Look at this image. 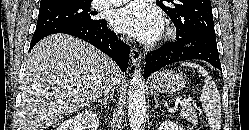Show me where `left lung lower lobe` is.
<instances>
[{
	"instance_id": "left-lung-lower-lobe-1",
	"label": "left lung lower lobe",
	"mask_w": 249,
	"mask_h": 130,
	"mask_svg": "<svg viewBox=\"0 0 249 130\" xmlns=\"http://www.w3.org/2000/svg\"><path fill=\"white\" fill-rule=\"evenodd\" d=\"M194 59L205 60L222 71L216 38L202 33H193L186 36L177 35L174 42L166 43L148 53L144 78L169 64Z\"/></svg>"
}]
</instances>
